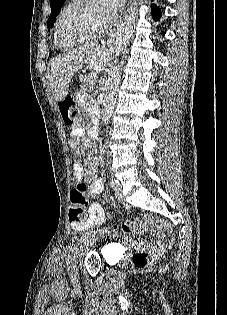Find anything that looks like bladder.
Masks as SVG:
<instances>
[{"mask_svg": "<svg viewBox=\"0 0 227 315\" xmlns=\"http://www.w3.org/2000/svg\"><path fill=\"white\" fill-rule=\"evenodd\" d=\"M102 254H103L104 260L107 263H109V264H115L116 263L117 253L112 248V246H110V245L105 246Z\"/></svg>", "mask_w": 227, "mask_h": 315, "instance_id": "1", "label": "bladder"}]
</instances>
